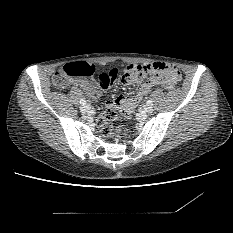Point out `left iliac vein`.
I'll return each mask as SVG.
<instances>
[{
  "instance_id": "1",
  "label": "left iliac vein",
  "mask_w": 233,
  "mask_h": 233,
  "mask_svg": "<svg viewBox=\"0 0 233 233\" xmlns=\"http://www.w3.org/2000/svg\"><path fill=\"white\" fill-rule=\"evenodd\" d=\"M143 110L145 113L150 114L154 111V108L152 106H149V105H144Z\"/></svg>"
}]
</instances>
